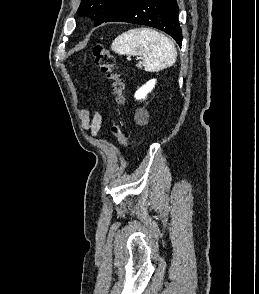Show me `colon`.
Listing matches in <instances>:
<instances>
[{
  "instance_id": "obj_1",
  "label": "colon",
  "mask_w": 259,
  "mask_h": 294,
  "mask_svg": "<svg viewBox=\"0 0 259 294\" xmlns=\"http://www.w3.org/2000/svg\"><path fill=\"white\" fill-rule=\"evenodd\" d=\"M93 55L96 65L111 81L115 105L122 106L125 101V85L119 73L115 71V62L110 50L103 43L98 42L93 47ZM112 132L122 148L129 149L131 147L129 135L124 130L122 123L113 124Z\"/></svg>"
}]
</instances>
